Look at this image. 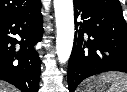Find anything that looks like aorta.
I'll return each instance as SVG.
<instances>
[{
    "label": "aorta",
    "mask_w": 127,
    "mask_h": 92,
    "mask_svg": "<svg viewBox=\"0 0 127 92\" xmlns=\"http://www.w3.org/2000/svg\"><path fill=\"white\" fill-rule=\"evenodd\" d=\"M57 27L56 53L59 63L69 60L74 40V10L72 0H54Z\"/></svg>",
    "instance_id": "762f6f07"
}]
</instances>
